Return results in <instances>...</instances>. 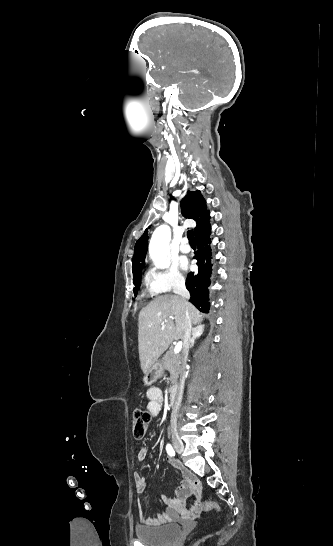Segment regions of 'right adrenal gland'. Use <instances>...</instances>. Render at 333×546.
<instances>
[{"mask_svg":"<svg viewBox=\"0 0 333 546\" xmlns=\"http://www.w3.org/2000/svg\"><path fill=\"white\" fill-rule=\"evenodd\" d=\"M205 325L199 324L196 327L192 328V337L190 339L189 348H192L194 346L195 340L198 339L204 332Z\"/></svg>","mask_w":333,"mask_h":546,"instance_id":"1","label":"right adrenal gland"}]
</instances>
